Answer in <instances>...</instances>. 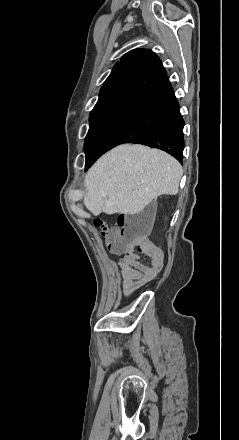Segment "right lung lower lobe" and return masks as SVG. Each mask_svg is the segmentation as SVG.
<instances>
[{"label": "right lung lower lobe", "instance_id": "1", "mask_svg": "<svg viewBox=\"0 0 239 440\" xmlns=\"http://www.w3.org/2000/svg\"><path fill=\"white\" fill-rule=\"evenodd\" d=\"M184 120L166 76L151 90L133 98L118 119L86 155L87 170L103 153L121 143H139L166 151L182 162Z\"/></svg>", "mask_w": 239, "mask_h": 440}]
</instances>
